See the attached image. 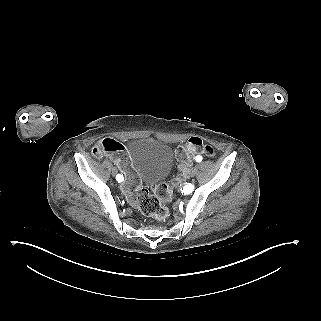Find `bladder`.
Returning a JSON list of instances; mask_svg holds the SVG:
<instances>
[{"label": "bladder", "instance_id": "bladder-1", "mask_svg": "<svg viewBox=\"0 0 321 321\" xmlns=\"http://www.w3.org/2000/svg\"><path fill=\"white\" fill-rule=\"evenodd\" d=\"M128 150L134 170L145 183L156 185L168 175L173 154L165 142L138 138L129 143Z\"/></svg>", "mask_w": 321, "mask_h": 321}]
</instances>
